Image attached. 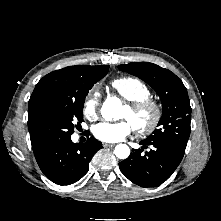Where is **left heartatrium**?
<instances>
[{"label": "left heart atrium", "mask_w": 221, "mask_h": 221, "mask_svg": "<svg viewBox=\"0 0 221 221\" xmlns=\"http://www.w3.org/2000/svg\"><path fill=\"white\" fill-rule=\"evenodd\" d=\"M133 130L129 120L119 122H100L93 126L92 133L100 141L115 143L123 140Z\"/></svg>", "instance_id": "obj_1"}]
</instances>
